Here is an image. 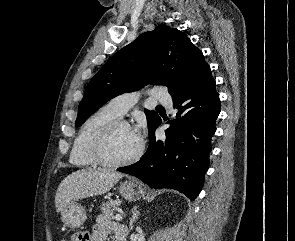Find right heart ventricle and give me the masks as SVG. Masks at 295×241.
<instances>
[{
  "mask_svg": "<svg viewBox=\"0 0 295 241\" xmlns=\"http://www.w3.org/2000/svg\"><path fill=\"white\" fill-rule=\"evenodd\" d=\"M107 107H103L92 114L81 126L74 140L70 153V162L76 167H92L98 163L92 155V146L104 127L118 119Z\"/></svg>",
  "mask_w": 295,
  "mask_h": 241,
  "instance_id": "1",
  "label": "right heart ventricle"
}]
</instances>
